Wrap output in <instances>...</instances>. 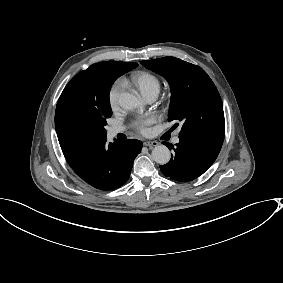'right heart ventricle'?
Wrapping results in <instances>:
<instances>
[{
    "label": "right heart ventricle",
    "instance_id": "1",
    "mask_svg": "<svg viewBox=\"0 0 283 283\" xmlns=\"http://www.w3.org/2000/svg\"><path fill=\"white\" fill-rule=\"evenodd\" d=\"M125 82L136 87L142 95L149 91L158 93L160 90V82L157 76L145 69L132 70L125 77Z\"/></svg>",
    "mask_w": 283,
    "mask_h": 283
}]
</instances>
